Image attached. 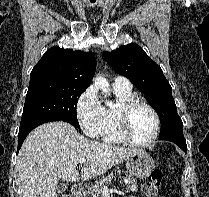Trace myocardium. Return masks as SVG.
Returning a JSON list of instances; mask_svg holds the SVG:
<instances>
[{"instance_id": "1", "label": "myocardium", "mask_w": 209, "mask_h": 197, "mask_svg": "<svg viewBox=\"0 0 209 197\" xmlns=\"http://www.w3.org/2000/svg\"><path fill=\"white\" fill-rule=\"evenodd\" d=\"M137 105H144L145 107H147L154 117V122H155L154 131L151 137L147 141L135 140L132 137L129 130V116L131 111ZM117 117H118L119 131L125 142L137 147H148L151 146L157 140L161 126L160 116L157 110L153 107V105H151L145 99L141 97L133 96L130 99L121 102L117 108Z\"/></svg>"}]
</instances>
